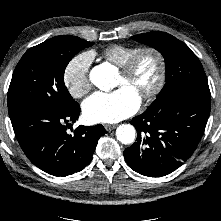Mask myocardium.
I'll return each mask as SVG.
<instances>
[{
  "label": "myocardium",
  "mask_w": 221,
  "mask_h": 221,
  "mask_svg": "<svg viewBox=\"0 0 221 221\" xmlns=\"http://www.w3.org/2000/svg\"><path fill=\"white\" fill-rule=\"evenodd\" d=\"M147 54H151L156 58L158 62V75L154 85L141 95L140 99L143 102H150L154 100L164 86L167 65L163 53L154 47L141 48L121 67L120 71L125 78H130L134 74L140 59Z\"/></svg>",
  "instance_id": "f54148a6"
}]
</instances>
